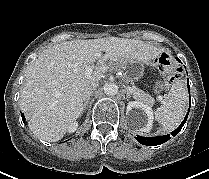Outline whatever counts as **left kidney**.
Segmentation results:
<instances>
[{"label": "left kidney", "instance_id": "obj_1", "mask_svg": "<svg viewBox=\"0 0 209 179\" xmlns=\"http://www.w3.org/2000/svg\"><path fill=\"white\" fill-rule=\"evenodd\" d=\"M126 114L129 115L131 125L141 127V131L149 132L153 126V111L150 106L138 102L130 101L127 105ZM145 115L144 125L139 122V115Z\"/></svg>", "mask_w": 209, "mask_h": 179}]
</instances>
